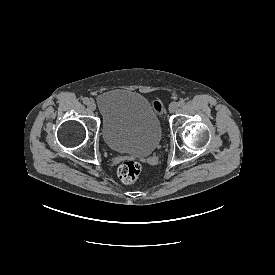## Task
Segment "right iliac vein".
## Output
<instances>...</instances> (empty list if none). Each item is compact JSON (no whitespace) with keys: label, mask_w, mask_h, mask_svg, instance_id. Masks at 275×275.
Instances as JSON below:
<instances>
[{"label":"right iliac vein","mask_w":275,"mask_h":275,"mask_svg":"<svg viewBox=\"0 0 275 275\" xmlns=\"http://www.w3.org/2000/svg\"><path fill=\"white\" fill-rule=\"evenodd\" d=\"M88 106L92 111L96 110V104L93 101H91Z\"/></svg>","instance_id":"1"}]
</instances>
